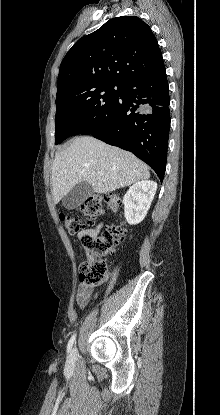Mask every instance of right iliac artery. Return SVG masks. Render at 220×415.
<instances>
[{
    "label": "right iliac artery",
    "mask_w": 220,
    "mask_h": 415,
    "mask_svg": "<svg viewBox=\"0 0 220 415\" xmlns=\"http://www.w3.org/2000/svg\"><path fill=\"white\" fill-rule=\"evenodd\" d=\"M75 338H76V334L72 335V337L70 338V340H69V342H68V345H67V352H68V353H69V352L71 351V349H72V346H73V344H74Z\"/></svg>",
    "instance_id": "1"
}]
</instances>
